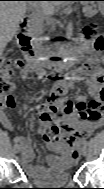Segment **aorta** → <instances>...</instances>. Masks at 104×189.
<instances>
[{
	"mask_svg": "<svg viewBox=\"0 0 104 189\" xmlns=\"http://www.w3.org/2000/svg\"><path fill=\"white\" fill-rule=\"evenodd\" d=\"M61 38H62V36H61ZM63 39H61V41H62ZM61 44H62V42H61ZM59 55L61 56V57H65L66 55H67V51L62 47V46H60L59 47ZM62 68V67H61ZM60 68V69H61ZM61 72V71H60ZM61 74V73H60Z\"/></svg>",
	"mask_w": 104,
	"mask_h": 189,
	"instance_id": "obj_1",
	"label": "aorta"
}]
</instances>
